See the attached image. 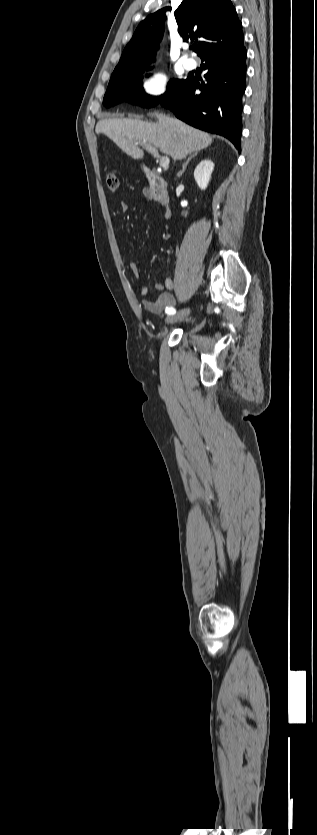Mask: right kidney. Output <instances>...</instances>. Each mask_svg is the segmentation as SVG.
I'll list each match as a JSON object with an SVG mask.
<instances>
[{"label": "right kidney", "mask_w": 317, "mask_h": 835, "mask_svg": "<svg viewBox=\"0 0 317 835\" xmlns=\"http://www.w3.org/2000/svg\"><path fill=\"white\" fill-rule=\"evenodd\" d=\"M214 163L211 160H202L194 171V178L201 190H205L211 178Z\"/></svg>", "instance_id": "right-kidney-1"}]
</instances>
